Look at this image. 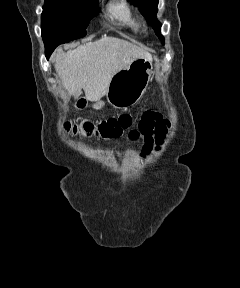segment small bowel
<instances>
[{
  "label": "small bowel",
  "mask_w": 240,
  "mask_h": 288,
  "mask_svg": "<svg viewBox=\"0 0 240 288\" xmlns=\"http://www.w3.org/2000/svg\"><path fill=\"white\" fill-rule=\"evenodd\" d=\"M169 122L160 113L146 111L142 114L138 129L130 133V138L136 140L142 138L145 150L150 149L152 142L161 143L166 136Z\"/></svg>",
  "instance_id": "c3829d8e"
}]
</instances>
